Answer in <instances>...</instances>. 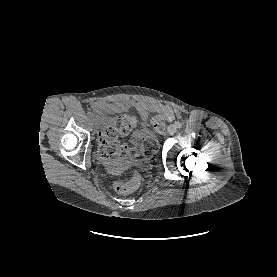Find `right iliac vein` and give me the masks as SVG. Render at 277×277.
Returning <instances> with one entry per match:
<instances>
[{"label":"right iliac vein","mask_w":277,"mask_h":277,"mask_svg":"<svg viewBox=\"0 0 277 277\" xmlns=\"http://www.w3.org/2000/svg\"><path fill=\"white\" fill-rule=\"evenodd\" d=\"M93 127H94V131L97 132L99 127H98V123L96 121L94 122Z\"/></svg>","instance_id":"1"}]
</instances>
